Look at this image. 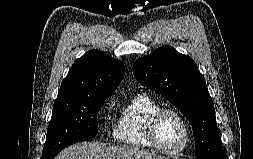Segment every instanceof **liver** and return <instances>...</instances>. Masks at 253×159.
<instances>
[{
	"label": "liver",
	"mask_w": 253,
	"mask_h": 159,
	"mask_svg": "<svg viewBox=\"0 0 253 159\" xmlns=\"http://www.w3.org/2000/svg\"><path fill=\"white\" fill-rule=\"evenodd\" d=\"M54 159H167L148 150L129 146H109L80 142L62 150Z\"/></svg>",
	"instance_id": "obj_1"
}]
</instances>
